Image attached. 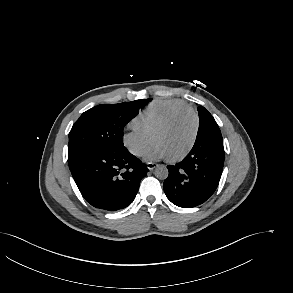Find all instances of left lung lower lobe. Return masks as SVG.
Instances as JSON below:
<instances>
[{
    "instance_id": "0a47b994",
    "label": "left lung lower lobe",
    "mask_w": 293,
    "mask_h": 293,
    "mask_svg": "<svg viewBox=\"0 0 293 293\" xmlns=\"http://www.w3.org/2000/svg\"><path fill=\"white\" fill-rule=\"evenodd\" d=\"M224 165L223 140L216 136L196 139L189 154L168 165L164 192L175 205L191 208L205 202L216 190Z\"/></svg>"
}]
</instances>
